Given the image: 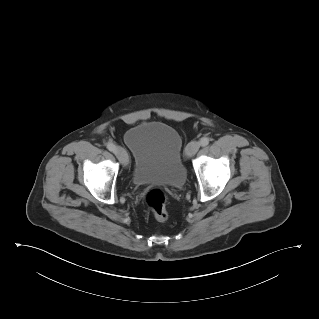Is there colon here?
<instances>
[{"mask_svg": "<svg viewBox=\"0 0 319 319\" xmlns=\"http://www.w3.org/2000/svg\"><path fill=\"white\" fill-rule=\"evenodd\" d=\"M145 202L158 221L163 222L167 220L166 195L162 190H150L146 195Z\"/></svg>", "mask_w": 319, "mask_h": 319, "instance_id": "colon-1", "label": "colon"}]
</instances>
